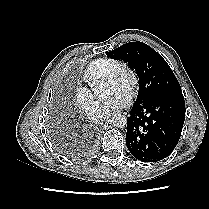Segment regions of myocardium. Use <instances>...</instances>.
I'll use <instances>...</instances> for the list:
<instances>
[{
	"instance_id": "myocardium-1",
	"label": "myocardium",
	"mask_w": 209,
	"mask_h": 209,
	"mask_svg": "<svg viewBox=\"0 0 209 209\" xmlns=\"http://www.w3.org/2000/svg\"><path fill=\"white\" fill-rule=\"evenodd\" d=\"M127 78L125 85L126 93L131 97L135 93L138 86V75L136 71L127 63H119L105 78L108 83H121Z\"/></svg>"
}]
</instances>
